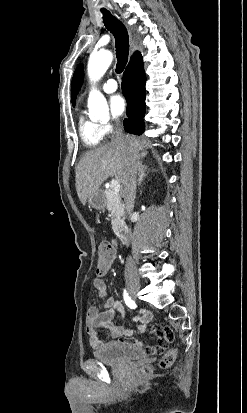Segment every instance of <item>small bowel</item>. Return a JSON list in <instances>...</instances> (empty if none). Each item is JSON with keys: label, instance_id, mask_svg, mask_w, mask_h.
I'll list each match as a JSON object with an SVG mask.
<instances>
[{"label": "small bowel", "instance_id": "c3829d8e", "mask_svg": "<svg viewBox=\"0 0 247 413\" xmlns=\"http://www.w3.org/2000/svg\"><path fill=\"white\" fill-rule=\"evenodd\" d=\"M93 288L97 291L99 298L105 299L102 306L105 311L100 312L99 308L94 305H88L86 310V332L89 336L90 344L93 348H100L102 345L105 349H112L113 346L116 349H140L144 346V343L138 340V336L134 333L133 329H125L120 324L113 323V318L116 312L121 314V319H124L125 307L124 304L114 299L111 296H107V287L104 281V277H95L92 283ZM153 315L147 309L139 311L138 315L132 319L133 323L137 324L139 331H144L152 321ZM152 331H156L157 338H162L159 346H149L147 353L149 355H165L167 349L170 346L172 338L176 336L174 329H161L159 322H152L150 325ZM99 329L109 331L110 335L114 338L112 340H105L103 343L102 337L99 333Z\"/></svg>", "mask_w": 247, "mask_h": 413}]
</instances>
